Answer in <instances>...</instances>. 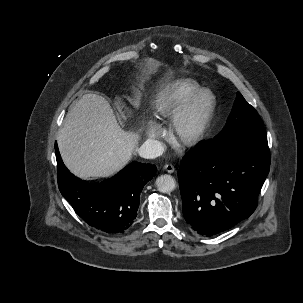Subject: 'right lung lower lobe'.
Wrapping results in <instances>:
<instances>
[{"label":"right lung lower lobe","mask_w":303,"mask_h":303,"mask_svg":"<svg viewBox=\"0 0 303 303\" xmlns=\"http://www.w3.org/2000/svg\"><path fill=\"white\" fill-rule=\"evenodd\" d=\"M55 152L59 190L86 223L112 234L131 227L140 193L157 171L154 165L133 162L111 179L88 185L65 167L57 143Z\"/></svg>","instance_id":"right-lung-lower-lobe-1"}]
</instances>
